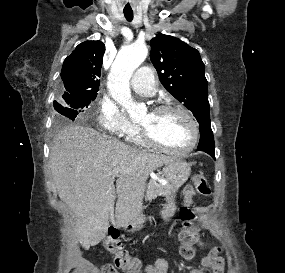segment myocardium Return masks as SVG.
Returning <instances> with one entry per match:
<instances>
[{
	"mask_svg": "<svg viewBox=\"0 0 285 273\" xmlns=\"http://www.w3.org/2000/svg\"><path fill=\"white\" fill-rule=\"evenodd\" d=\"M167 111H175L182 114L190 123L192 130V137L189 144L183 148L169 147L157 141L144 126L139 125V136L141 140L145 144L167 153L175 155H185L190 153L196 148L200 139V127L198 121L187 108L179 104H162L154 109V112H167Z\"/></svg>",
	"mask_w": 285,
	"mask_h": 273,
	"instance_id": "f54148a6",
	"label": "myocardium"
}]
</instances>
